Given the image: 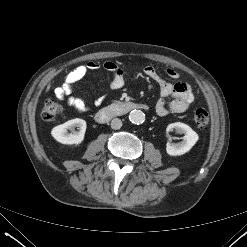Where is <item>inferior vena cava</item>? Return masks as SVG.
I'll return each mask as SVG.
<instances>
[{
    "instance_id": "602c4592",
    "label": "inferior vena cava",
    "mask_w": 247,
    "mask_h": 247,
    "mask_svg": "<svg viewBox=\"0 0 247 247\" xmlns=\"http://www.w3.org/2000/svg\"><path fill=\"white\" fill-rule=\"evenodd\" d=\"M122 127V121L119 118H114L111 121V128L114 130H118Z\"/></svg>"
}]
</instances>
